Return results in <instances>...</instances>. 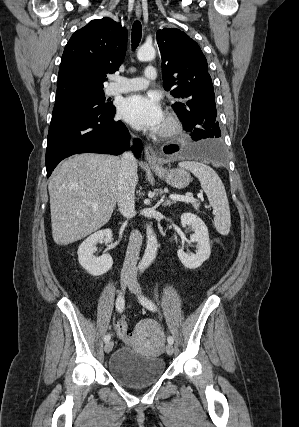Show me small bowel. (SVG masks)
<instances>
[{
  "instance_id": "c3829d8e",
  "label": "small bowel",
  "mask_w": 299,
  "mask_h": 427,
  "mask_svg": "<svg viewBox=\"0 0 299 427\" xmlns=\"http://www.w3.org/2000/svg\"><path fill=\"white\" fill-rule=\"evenodd\" d=\"M118 323V322H117ZM116 327H117V324H116ZM116 327H115V329H116ZM116 332H117V330H116ZM118 334V333H117ZM118 336H119V338L122 340V341H126V340H128V337H124V336H122V335H120V334H118Z\"/></svg>"
}]
</instances>
